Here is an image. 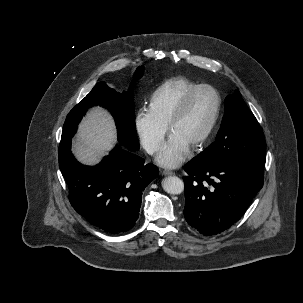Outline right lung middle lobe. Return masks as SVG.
Wrapping results in <instances>:
<instances>
[{"mask_svg": "<svg viewBox=\"0 0 303 303\" xmlns=\"http://www.w3.org/2000/svg\"><path fill=\"white\" fill-rule=\"evenodd\" d=\"M142 71L143 68L139 67L134 81L142 76ZM94 105L103 106L111 112L117 126L118 141L128 149L137 151L140 146L135 127L132 92H116L108 88L104 82L96 84L92 91L69 112L64 123L60 144L71 141L82 116L89 107Z\"/></svg>", "mask_w": 303, "mask_h": 303, "instance_id": "1", "label": "right lung middle lobe"}]
</instances>
